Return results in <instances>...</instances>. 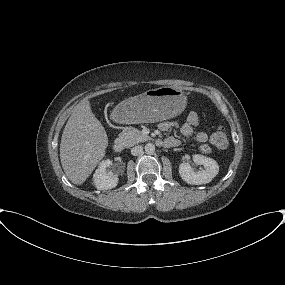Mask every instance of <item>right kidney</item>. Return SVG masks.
<instances>
[{
	"label": "right kidney",
	"instance_id": "ca27d5eb",
	"mask_svg": "<svg viewBox=\"0 0 285 285\" xmlns=\"http://www.w3.org/2000/svg\"><path fill=\"white\" fill-rule=\"evenodd\" d=\"M111 164L112 161L110 159L103 160L95 171L93 184L98 190H108L117 186L119 182L118 175L106 171Z\"/></svg>",
	"mask_w": 285,
	"mask_h": 285
}]
</instances>
